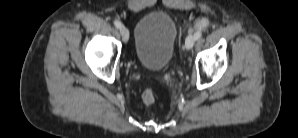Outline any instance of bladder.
Here are the masks:
<instances>
[{
	"label": "bladder",
	"mask_w": 298,
	"mask_h": 138,
	"mask_svg": "<svg viewBox=\"0 0 298 138\" xmlns=\"http://www.w3.org/2000/svg\"><path fill=\"white\" fill-rule=\"evenodd\" d=\"M176 25L165 12H153L143 17L134 33V51L138 62L146 69H165L174 52Z\"/></svg>",
	"instance_id": "31cf9c89"
}]
</instances>
